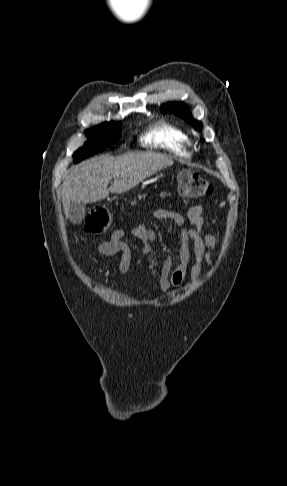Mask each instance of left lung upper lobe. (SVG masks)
Wrapping results in <instances>:
<instances>
[{
  "label": "left lung upper lobe",
  "mask_w": 287,
  "mask_h": 486,
  "mask_svg": "<svg viewBox=\"0 0 287 486\" xmlns=\"http://www.w3.org/2000/svg\"><path fill=\"white\" fill-rule=\"evenodd\" d=\"M165 109H166V106L163 105L161 107V111L165 112ZM171 112H173L175 115L177 116H180L181 118H183L185 121H187L188 123H191L193 124V126L196 128V129H200L201 128V123L192 119L190 113H189V109L188 107L185 105V104H182V103H175L171 106Z\"/></svg>",
  "instance_id": "1"
}]
</instances>
